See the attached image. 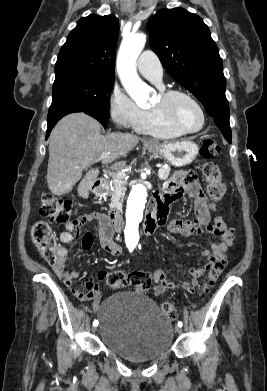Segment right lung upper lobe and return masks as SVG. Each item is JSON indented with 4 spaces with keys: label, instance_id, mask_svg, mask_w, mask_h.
<instances>
[{
    "label": "right lung upper lobe",
    "instance_id": "cb5924a9",
    "mask_svg": "<svg viewBox=\"0 0 267 391\" xmlns=\"http://www.w3.org/2000/svg\"><path fill=\"white\" fill-rule=\"evenodd\" d=\"M119 32L113 15L81 18L62 46L55 74L88 72L115 75V51Z\"/></svg>",
    "mask_w": 267,
    "mask_h": 391
}]
</instances>
